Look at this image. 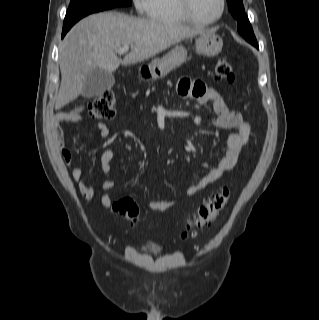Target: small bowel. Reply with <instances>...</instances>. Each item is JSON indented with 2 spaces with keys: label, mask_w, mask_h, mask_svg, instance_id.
Listing matches in <instances>:
<instances>
[{
  "label": "small bowel",
  "mask_w": 319,
  "mask_h": 320,
  "mask_svg": "<svg viewBox=\"0 0 319 320\" xmlns=\"http://www.w3.org/2000/svg\"><path fill=\"white\" fill-rule=\"evenodd\" d=\"M178 93L181 97L194 99L201 105L212 102L215 115L209 119L210 123L215 127L230 130L227 137V146L221 159L215 163H206L205 167L208 170L206 175L187 189V195H194L219 180L225 172L235 166L241 150L249 141L251 127L238 111L228 108L224 98L217 90L206 85L202 80H191L185 77L180 78L178 82ZM80 119L81 115L79 111L57 114L54 124L58 139H62V133L58 127L61 122H75ZM95 127L100 137L106 138L109 136L110 130L106 124L96 122ZM61 156L70 169L73 180L79 183L81 194L89 199L94 198L97 195V190L82 181L84 172L81 167L72 166V152L65 147H61ZM113 157L114 152L111 149H106L102 152L99 165H97V171L103 178L101 185L103 190H110L115 186V182L111 177V161ZM100 201L104 207L110 208L114 199L105 193L101 195ZM178 201L176 198L153 201L148 204V208L152 211H166L177 204Z\"/></svg>",
  "instance_id": "1"
}]
</instances>
